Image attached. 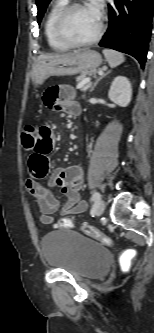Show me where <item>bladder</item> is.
<instances>
[{"instance_id":"31cf9c89","label":"bladder","mask_w":154,"mask_h":333,"mask_svg":"<svg viewBox=\"0 0 154 333\" xmlns=\"http://www.w3.org/2000/svg\"><path fill=\"white\" fill-rule=\"evenodd\" d=\"M40 248L49 267L77 277L101 276L111 261L106 246L72 229L47 233Z\"/></svg>"}]
</instances>
